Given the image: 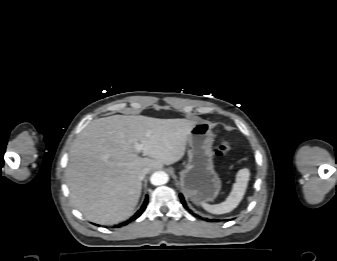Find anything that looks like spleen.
Returning a JSON list of instances; mask_svg holds the SVG:
<instances>
[{
  "label": "spleen",
  "mask_w": 337,
  "mask_h": 261,
  "mask_svg": "<svg viewBox=\"0 0 337 261\" xmlns=\"http://www.w3.org/2000/svg\"><path fill=\"white\" fill-rule=\"evenodd\" d=\"M249 177L250 172L247 168L239 170L236 175V182L233 184L232 191L228 198L224 202L215 205L203 202L201 204L202 207L206 211L213 214H224L232 211L239 205L240 201L243 199L248 185Z\"/></svg>",
  "instance_id": "obj_1"
}]
</instances>
